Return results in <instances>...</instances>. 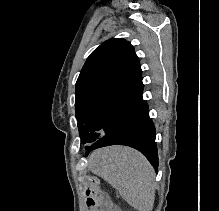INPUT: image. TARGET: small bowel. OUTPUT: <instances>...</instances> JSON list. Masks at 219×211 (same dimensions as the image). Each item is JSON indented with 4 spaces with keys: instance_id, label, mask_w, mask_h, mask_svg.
I'll use <instances>...</instances> for the list:
<instances>
[{
    "instance_id": "1",
    "label": "small bowel",
    "mask_w": 219,
    "mask_h": 211,
    "mask_svg": "<svg viewBox=\"0 0 219 211\" xmlns=\"http://www.w3.org/2000/svg\"><path fill=\"white\" fill-rule=\"evenodd\" d=\"M96 211H120V210L113 205L111 199L106 193H102L99 207Z\"/></svg>"
}]
</instances>
